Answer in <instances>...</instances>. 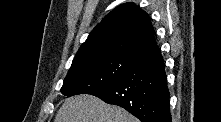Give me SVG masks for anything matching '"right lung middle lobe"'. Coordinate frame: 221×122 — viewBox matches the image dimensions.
<instances>
[{
  "mask_svg": "<svg viewBox=\"0 0 221 122\" xmlns=\"http://www.w3.org/2000/svg\"><path fill=\"white\" fill-rule=\"evenodd\" d=\"M136 60L120 56H107L71 66L64 79L61 93L67 97L90 94L119 80Z\"/></svg>",
  "mask_w": 221,
  "mask_h": 122,
  "instance_id": "1",
  "label": "right lung middle lobe"
}]
</instances>
